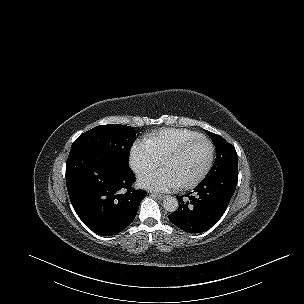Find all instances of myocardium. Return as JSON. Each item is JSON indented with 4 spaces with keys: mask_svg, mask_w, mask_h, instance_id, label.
Here are the masks:
<instances>
[{
    "mask_svg": "<svg viewBox=\"0 0 304 304\" xmlns=\"http://www.w3.org/2000/svg\"><path fill=\"white\" fill-rule=\"evenodd\" d=\"M199 143H206L208 146V156L207 159L203 165V167L200 169V171L191 179L188 181H182L179 182L180 187L183 188H189L194 185H197L210 171L213 162H214V154H215V147L213 142L207 138L206 136H198L180 147H178L176 150H174L166 159H164L162 163V168L167 170L169 169V165L177 159L179 156H181L186 150L191 148L192 146L199 144Z\"/></svg>",
    "mask_w": 304,
    "mask_h": 304,
    "instance_id": "myocardium-1",
    "label": "myocardium"
}]
</instances>
